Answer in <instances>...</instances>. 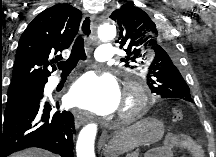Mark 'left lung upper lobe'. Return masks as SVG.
<instances>
[{
	"label": "left lung upper lobe",
	"mask_w": 216,
	"mask_h": 157,
	"mask_svg": "<svg viewBox=\"0 0 216 157\" xmlns=\"http://www.w3.org/2000/svg\"><path fill=\"white\" fill-rule=\"evenodd\" d=\"M119 26L117 43L127 53L121 61L130 68L147 70V84L151 92L162 99H181L192 102L190 88L181 74L174 39L162 27L160 19L148 15L134 4H123L110 15Z\"/></svg>",
	"instance_id": "obj_1"
}]
</instances>
